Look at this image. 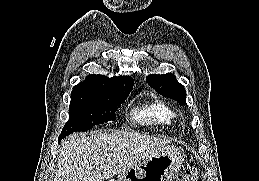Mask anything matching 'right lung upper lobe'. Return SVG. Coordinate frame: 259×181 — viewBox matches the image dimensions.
I'll list each match as a JSON object with an SVG mask.
<instances>
[{
	"mask_svg": "<svg viewBox=\"0 0 259 181\" xmlns=\"http://www.w3.org/2000/svg\"><path fill=\"white\" fill-rule=\"evenodd\" d=\"M134 81L129 76L109 78L104 75H89L85 81L73 87L72 94H90L108 97H125L131 92Z\"/></svg>",
	"mask_w": 259,
	"mask_h": 181,
	"instance_id": "cb5924a9",
	"label": "right lung upper lobe"
}]
</instances>
